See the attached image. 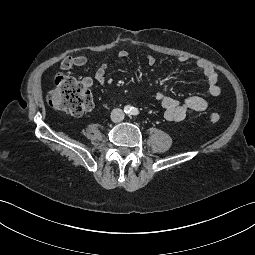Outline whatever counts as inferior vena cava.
Masks as SVG:
<instances>
[{
  "mask_svg": "<svg viewBox=\"0 0 255 255\" xmlns=\"http://www.w3.org/2000/svg\"><path fill=\"white\" fill-rule=\"evenodd\" d=\"M124 119V113L121 109L115 108L111 112V120L113 122H120Z\"/></svg>",
  "mask_w": 255,
  "mask_h": 255,
  "instance_id": "1",
  "label": "inferior vena cava"
}]
</instances>
